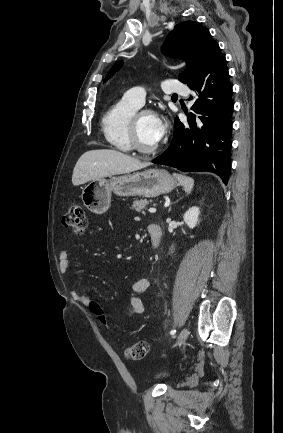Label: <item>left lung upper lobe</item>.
<instances>
[{"mask_svg": "<svg viewBox=\"0 0 283 433\" xmlns=\"http://www.w3.org/2000/svg\"><path fill=\"white\" fill-rule=\"evenodd\" d=\"M215 43L205 27L197 22L185 21L176 25L174 30L168 34L162 51L169 57L186 61L187 69L178 77L179 81L185 83L191 76L197 61ZM120 65L121 62L114 65L105 80L109 79Z\"/></svg>", "mask_w": 283, "mask_h": 433, "instance_id": "1", "label": "left lung upper lobe"}]
</instances>
